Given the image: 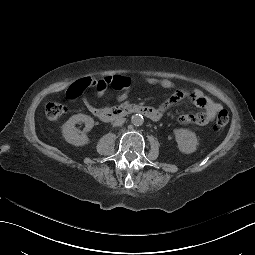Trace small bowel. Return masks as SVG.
Masks as SVG:
<instances>
[{"instance_id": "small-bowel-1", "label": "small bowel", "mask_w": 255, "mask_h": 255, "mask_svg": "<svg viewBox=\"0 0 255 255\" xmlns=\"http://www.w3.org/2000/svg\"><path fill=\"white\" fill-rule=\"evenodd\" d=\"M127 79V85L120 90L119 94L117 95V100L119 102L125 101L131 90L136 86V83L132 82L130 79ZM145 81L153 86H160L167 89L175 88V83L168 79L162 78H155V77H148ZM106 88H99L94 89L95 94L98 97H101L104 94ZM80 93H76L72 90L71 87L68 88L66 91V97L69 100H73L77 98ZM188 99L196 106L203 109V111L195 113V114H187L183 115L179 118L181 124H195L198 126H205L209 122H211L219 111L222 110V106L215 101H213L210 97L206 96L201 90L194 89V90H177L175 91L168 99H166L157 109L160 113L164 112L168 108L172 107L173 105L177 104L181 100ZM85 106L92 112L95 108L91 103L88 96H85L84 99Z\"/></svg>"}]
</instances>
